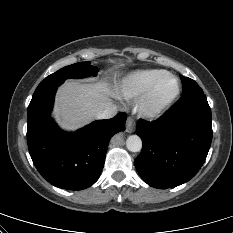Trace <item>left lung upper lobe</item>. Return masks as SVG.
I'll return each instance as SVG.
<instances>
[{"label":"left lung upper lobe","mask_w":233,"mask_h":233,"mask_svg":"<svg viewBox=\"0 0 233 233\" xmlns=\"http://www.w3.org/2000/svg\"><path fill=\"white\" fill-rule=\"evenodd\" d=\"M181 80L183 84V96L203 93V90L194 80L185 77H181Z\"/></svg>","instance_id":"obj_1"}]
</instances>
